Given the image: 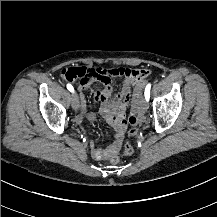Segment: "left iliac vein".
I'll return each mask as SVG.
<instances>
[{
	"instance_id": "obj_1",
	"label": "left iliac vein",
	"mask_w": 217,
	"mask_h": 217,
	"mask_svg": "<svg viewBox=\"0 0 217 217\" xmlns=\"http://www.w3.org/2000/svg\"><path fill=\"white\" fill-rule=\"evenodd\" d=\"M140 105H141V108L144 111H147V109H148V102H147V100L145 98H141Z\"/></svg>"
}]
</instances>
